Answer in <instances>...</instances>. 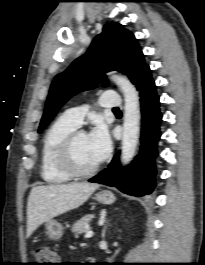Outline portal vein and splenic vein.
<instances>
[{
    "instance_id": "18ae733b",
    "label": "portal vein and splenic vein",
    "mask_w": 205,
    "mask_h": 265,
    "mask_svg": "<svg viewBox=\"0 0 205 265\" xmlns=\"http://www.w3.org/2000/svg\"><path fill=\"white\" fill-rule=\"evenodd\" d=\"M93 231H91V230H88L86 233H85V238H90V237H92L93 236Z\"/></svg>"
}]
</instances>
